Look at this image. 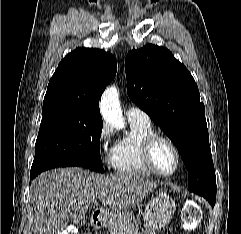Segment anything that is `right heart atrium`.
<instances>
[{
  "label": "right heart atrium",
  "instance_id": "d8ad5b80",
  "mask_svg": "<svg viewBox=\"0 0 241 234\" xmlns=\"http://www.w3.org/2000/svg\"><path fill=\"white\" fill-rule=\"evenodd\" d=\"M112 134V129L107 124H103L97 136L98 145L104 153V159L106 162H110L111 149L109 148V144L112 138Z\"/></svg>",
  "mask_w": 241,
  "mask_h": 234
}]
</instances>
